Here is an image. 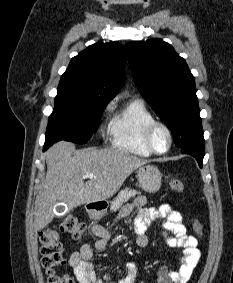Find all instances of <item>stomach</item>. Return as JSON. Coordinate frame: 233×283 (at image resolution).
Masks as SVG:
<instances>
[{"label": "stomach", "instance_id": "1", "mask_svg": "<svg viewBox=\"0 0 233 283\" xmlns=\"http://www.w3.org/2000/svg\"><path fill=\"white\" fill-rule=\"evenodd\" d=\"M139 186L148 193L157 192L162 183V174L154 165H144L137 170ZM92 218H99L106 214L105 210H89Z\"/></svg>", "mask_w": 233, "mask_h": 283}]
</instances>
